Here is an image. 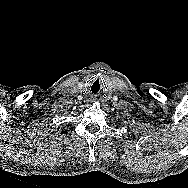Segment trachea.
<instances>
[{
	"label": "trachea",
	"instance_id": "obj_1",
	"mask_svg": "<svg viewBox=\"0 0 188 188\" xmlns=\"http://www.w3.org/2000/svg\"><path fill=\"white\" fill-rule=\"evenodd\" d=\"M103 83L100 80H95L92 83L91 93L94 96H99L102 93Z\"/></svg>",
	"mask_w": 188,
	"mask_h": 188
}]
</instances>
